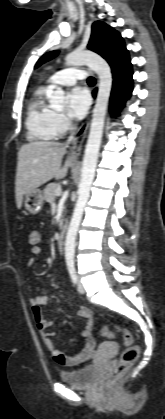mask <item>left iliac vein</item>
<instances>
[{
  "instance_id": "left-iliac-vein-1",
  "label": "left iliac vein",
  "mask_w": 165,
  "mask_h": 419,
  "mask_svg": "<svg viewBox=\"0 0 165 419\" xmlns=\"http://www.w3.org/2000/svg\"><path fill=\"white\" fill-rule=\"evenodd\" d=\"M77 290L80 294H83L85 292L84 286L81 282H78Z\"/></svg>"
}]
</instances>
